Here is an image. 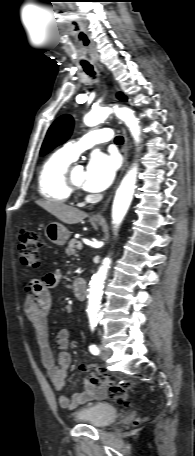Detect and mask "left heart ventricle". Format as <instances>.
Segmentation results:
<instances>
[{
	"label": "left heart ventricle",
	"instance_id": "b2bd125f",
	"mask_svg": "<svg viewBox=\"0 0 195 456\" xmlns=\"http://www.w3.org/2000/svg\"><path fill=\"white\" fill-rule=\"evenodd\" d=\"M84 178L85 170L83 168L76 167L72 170V179L76 184L83 186Z\"/></svg>",
	"mask_w": 195,
	"mask_h": 456
}]
</instances>
